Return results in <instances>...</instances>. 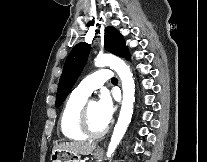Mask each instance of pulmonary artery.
I'll return each mask as SVG.
<instances>
[{
	"mask_svg": "<svg viewBox=\"0 0 207 162\" xmlns=\"http://www.w3.org/2000/svg\"><path fill=\"white\" fill-rule=\"evenodd\" d=\"M111 77V71L106 69L98 70L82 80L75 88V91L88 97L95 90L102 87L107 80L111 79Z\"/></svg>",
	"mask_w": 207,
	"mask_h": 162,
	"instance_id": "1",
	"label": "pulmonary artery"
}]
</instances>
